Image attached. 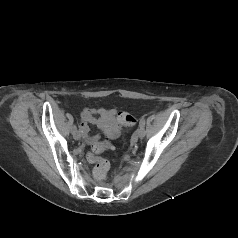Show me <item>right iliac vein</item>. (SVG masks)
<instances>
[{"mask_svg":"<svg viewBox=\"0 0 238 238\" xmlns=\"http://www.w3.org/2000/svg\"><path fill=\"white\" fill-rule=\"evenodd\" d=\"M73 137H74L75 140H80L81 139L80 131L73 132Z\"/></svg>","mask_w":238,"mask_h":238,"instance_id":"1","label":"right iliac vein"}]
</instances>
